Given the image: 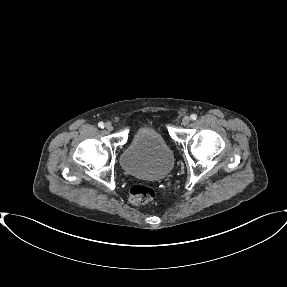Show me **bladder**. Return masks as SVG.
Returning a JSON list of instances; mask_svg holds the SVG:
<instances>
[{
    "mask_svg": "<svg viewBox=\"0 0 287 287\" xmlns=\"http://www.w3.org/2000/svg\"><path fill=\"white\" fill-rule=\"evenodd\" d=\"M120 161L123 169L133 176L159 180L172 170L174 155L159 132L144 126L134 134Z\"/></svg>",
    "mask_w": 287,
    "mask_h": 287,
    "instance_id": "1",
    "label": "bladder"
}]
</instances>
